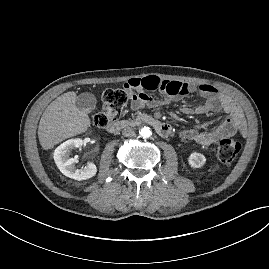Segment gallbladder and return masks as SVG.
Listing matches in <instances>:
<instances>
[{
	"label": "gallbladder",
	"mask_w": 269,
	"mask_h": 269,
	"mask_svg": "<svg viewBox=\"0 0 269 269\" xmlns=\"http://www.w3.org/2000/svg\"><path fill=\"white\" fill-rule=\"evenodd\" d=\"M96 104L97 99L92 93H82L76 99V106L86 113L93 111L96 107Z\"/></svg>",
	"instance_id": "1"
}]
</instances>
